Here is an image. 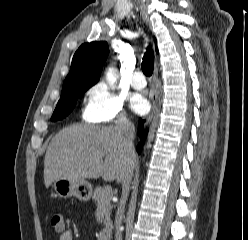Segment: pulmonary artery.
I'll use <instances>...</instances> for the list:
<instances>
[{
  "instance_id": "1",
  "label": "pulmonary artery",
  "mask_w": 248,
  "mask_h": 240,
  "mask_svg": "<svg viewBox=\"0 0 248 240\" xmlns=\"http://www.w3.org/2000/svg\"><path fill=\"white\" fill-rule=\"evenodd\" d=\"M131 85L135 89H142L146 85V80L141 71H134L131 75Z\"/></svg>"
}]
</instances>
